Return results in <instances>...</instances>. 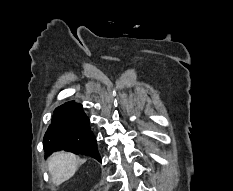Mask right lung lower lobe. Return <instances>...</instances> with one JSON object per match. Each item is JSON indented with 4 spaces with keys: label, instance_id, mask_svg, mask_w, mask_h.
I'll use <instances>...</instances> for the list:
<instances>
[{
    "label": "right lung lower lobe",
    "instance_id": "98d812e1",
    "mask_svg": "<svg viewBox=\"0 0 233 191\" xmlns=\"http://www.w3.org/2000/svg\"><path fill=\"white\" fill-rule=\"evenodd\" d=\"M43 143L46 155L65 150L91 156L101 162L96 139L89 127V118L82 106L74 101L56 108Z\"/></svg>",
    "mask_w": 233,
    "mask_h": 191
}]
</instances>
